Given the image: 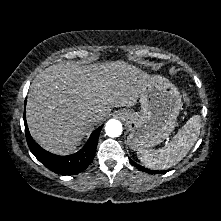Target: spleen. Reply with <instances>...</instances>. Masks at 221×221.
Masks as SVG:
<instances>
[{"instance_id":"obj_1","label":"spleen","mask_w":221,"mask_h":221,"mask_svg":"<svg viewBox=\"0 0 221 221\" xmlns=\"http://www.w3.org/2000/svg\"><path fill=\"white\" fill-rule=\"evenodd\" d=\"M200 116H192L178 133L164 147L157 150H139V160L148 168L168 169L180 162L190 151L199 137Z\"/></svg>"}]
</instances>
